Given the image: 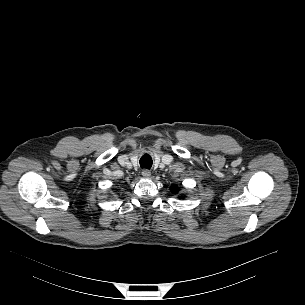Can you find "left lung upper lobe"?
Wrapping results in <instances>:
<instances>
[{
  "label": "left lung upper lobe",
  "mask_w": 305,
  "mask_h": 305,
  "mask_svg": "<svg viewBox=\"0 0 305 305\" xmlns=\"http://www.w3.org/2000/svg\"><path fill=\"white\" fill-rule=\"evenodd\" d=\"M172 192H173V193H176V192H177V187H176V185L172 186Z\"/></svg>",
  "instance_id": "5c2ea615"
}]
</instances>
